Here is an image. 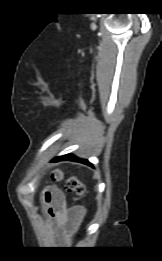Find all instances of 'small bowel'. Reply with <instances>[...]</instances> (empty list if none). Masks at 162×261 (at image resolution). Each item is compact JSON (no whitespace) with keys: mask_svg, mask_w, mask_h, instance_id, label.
<instances>
[{"mask_svg":"<svg viewBox=\"0 0 162 261\" xmlns=\"http://www.w3.org/2000/svg\"><path fill=\"white\" fill-rule=\"evenodd\" d=\"M44 200L49 218V227L59 234L60 241H64L82 217L83 210L81 208L68 210L65 196L59 189L54 187H50L46 190Z\"/></svg>","mask_w":162,"mask_h":261,"instance_id":"1","label":"small bowel"}]
</instances>
